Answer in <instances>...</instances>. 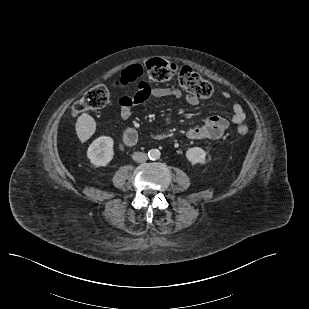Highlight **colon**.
Segmentation results:
<instances>
[{
  "mask_svg": "<svg viewBox=\"0 0 309 309\" xmlns=\"http://www.w3.org/2000/svg\"><path fill=\"white\" fill-rule=\"evenodd\" d=\"M147 71L150 78L164 82L171 80L177 76L181 88L190 95L197 98H210L214 89L210 82L201 77L189 66L178 68L174 63L155 58L147 61L144 66L132 65L126 69V76L132 80H137L144 71ZM110 98L109 90L104 85H97L88 90L83 98L75 103L73 107V115H79L87 110H95L104 107ZM240 135L248 132L246 125H240L237 128Z\"/></svg>",
  "mask_w": 309,
  "mask_h": 309,
  "instance_id": "1",
  "label": "colon"
}]
</instances>
